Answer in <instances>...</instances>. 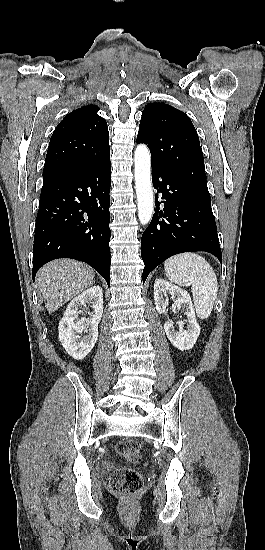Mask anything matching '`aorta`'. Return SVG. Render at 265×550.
Instances as JSON below:
<instances>
[{
    "instance_id": "obj_1",
    "label": "aorta",
    "mask_w": 265,
    "mask_h": 550,
    "mask_svg": "<svg viewBox=\"0 0 265 550\" xmlns=\"http://www.w3.org/2000/svg\"><path fill=\"white\" fill-rule=\"evenodd\" d=\"M135 188L138 202V218L142 225L151 221L154 199L151 183V157L147 146L140 144L134 152Z\"/></svg>"
}]
</instances>
